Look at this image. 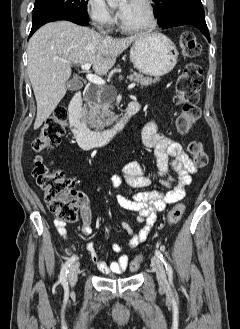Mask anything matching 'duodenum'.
Here are the masks:
<instances>
[{"instance_id": "1", "label": "duodenum", "mask_w": 240, "mask_h": 329, "mask_svg": "<svg viewBox=\"0 0 240 329\" xmlns=\"http://www.w3.org/2000/svg\"><path fill=\"white\" fill-rule=\"evenodd\" d=\"M138 110L139 105L132 101L111 127L100 131L90 130L83 119L81 95L75 93L69 103L70 129L79 146L85 151H90L114 139Z\"/></svg>"}]
</instances>
